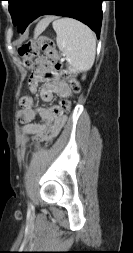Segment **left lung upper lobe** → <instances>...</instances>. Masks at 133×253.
Returning <instances> with one entry per match:
<instances>
[{
  "instance_id": "left-lung-upper-lobe-1",
  "label": "left lung upper lobe",
  "mask_w": 133,
  "mask_h": 253,
  "mask_svg": "<svg viewBox=\"0 0 133 253\" xmlns=\"http://www.w3.org/2000/svg\"><path fill=\"white\" fill-rule=\"evenodd\" d=\"M9 2V12L12 16V21L14 25H17L24 6L28 0H7Z\"/></svg>"
}]
</instances>
